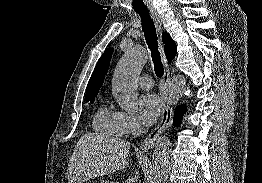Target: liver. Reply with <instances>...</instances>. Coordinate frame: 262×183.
<instances>
[{
	"instance_id": "obj_1",
	"label": "liver",
	"mask_w": 262,
	"mask_h": 183,
	"mask_svg": "<svg viewBox=\"0 0 262 183\" xmlns=\"http://www.w3.org/2000/svg\"><path fill=\"white\" fill-rule=\"evenodd\" d=\"M130 142L105 133L83 135L69 160L68 183H84L123 170L129 164Z\"/></svg>"
}]
</instances>
